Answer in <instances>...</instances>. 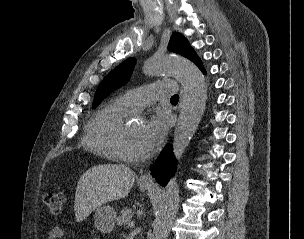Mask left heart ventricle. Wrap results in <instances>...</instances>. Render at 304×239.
Here are the masks:
<instances>
[{"label": "left heart ventricle", "instance_id": "b2bd125f", "mask_svg": "<svg viewBox=\"0 0 304 239\" xmlns=\"http://www.w3.org/2000/svg\"><path fill=\"white\" fill-rule=\"evenodd\" d=\"M144 129L143 124H133L127 126L128 132V147L129 149L136 154H144L143 150L139 144V138Z\"/></svg>", "mask_w": 304, "mask_h": 239}]
</instances>
